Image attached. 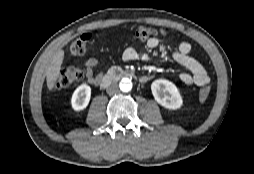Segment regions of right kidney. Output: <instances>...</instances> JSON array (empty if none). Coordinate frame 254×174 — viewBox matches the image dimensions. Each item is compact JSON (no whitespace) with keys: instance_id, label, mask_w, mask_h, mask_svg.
<instances>
[{"instance_id":"ca27d5eb","label":"right kidney","mask_w":254,"mask_h":174,"mask_svg":"<svg viewBox=\"0 0 254 174\" xmlns=\"http://www.w3.org/2000/svg\"><path fill=\"white\" fill-rule=\"evenodd\" d=\"M91 88L86 84H82L76 88L72 95L71 104L75 111L85 109L90 101Z\"/></svg>"}]
</instances>
